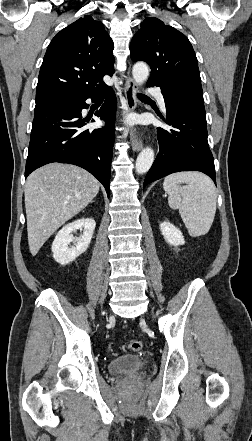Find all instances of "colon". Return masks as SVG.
Returning <instances> with one entry per match:
<instances>
[{
  "label": "colon",
  "mask_w": 252,
  "mask_h": 441,
  "mask_svg": "<svg viewBox=\"0 0 252 441\" xmlns=\"http://www.w3.org/2000/svg\"><path fill=\"white\" fill-rule=\"evenodd\" d=\"M141 342L138 340H131L124 345V350L129 352H138L141 350Z\"/></svg>",
  "instance_id": "obj_1"
}]
</instances>
